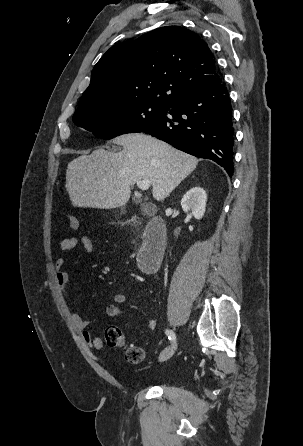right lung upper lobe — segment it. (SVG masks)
<instances>
[{"label": "right lung upper lobe", "instance_id": "obj_1", "mask_svg": "<svg viewBox=\"0 0 303 446\" xmlns=\"http://www.w3.org/2000/svg\"><path fill=\"white\" fill-rule=\"evenodd\" d=\"M220 80L204 40L183 27H161L103 55L75 114L131 101L171 106L185 94Z\"/></svg>", "mask_w": 303, "mask_h": 446}]
</instances>
